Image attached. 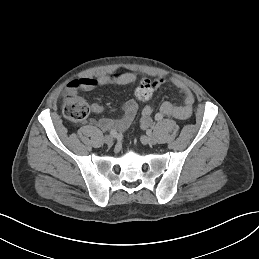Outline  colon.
I'll list each match as a JSON object with an SVG mask.
<instances>
[{
	"instance_id": "obj_1",
	"label": "colon",
	"mask_w": 259,
	"mask_h": 259,
	"mask_svg": "<svg viewBox=\"0 0 259 259\" xmlns=\"http://www.w3.org/2000/svg\"><path fill=\"white\" fill-rule=\"evenodd\" d=\"M81 81L75 80L68 85L64 96L63 112L67 119L73 122H82L89 115L90 108L83 98L76 93ZM156 88L150 80H143L135 90V97L139 101H145L152 97Z\"/></svg>"
}]
</instances>
